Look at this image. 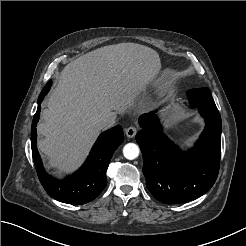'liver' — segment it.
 Segmentation results:
<instances>
[{
	"label": "liver",
	"instance_id": "6515ba94",
	"mask_svg": "<svg viewBox=\"0 0 246 246\" xmlns=\"http://www.w3.org/2000/svg\"><path fill=\"white\" fill-rule=\"evenodd\" d=\"M161 69L159 54L137 43L108 45L67 64L52 91L38 149L57 173L77 169L87 157L102 128L98 121L134 106Z\"/></svg>",
	"mask_w": 246,
	"mask_h": 246
}]
</instances>
